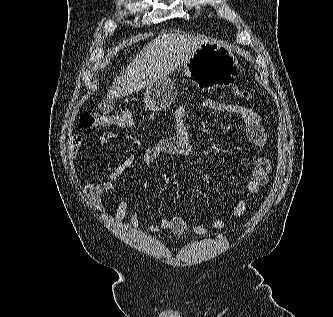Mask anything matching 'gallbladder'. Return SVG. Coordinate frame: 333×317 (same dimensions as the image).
Here are the masks:
<instances>
[{"label":"gallbladder","mask_w":333,"mask_h":317,"mask_svg":"<svg viewBox=\"0 0 333 317\" xmlns=\"http://www.w3.org/2000/svg\"><path fill=\"white\" fill-rule=\"evenodd\" d=\"M115 99H104L98 104V109L102 114H109L115 108Z\"/></svg>","instance_id":"bac80fb5"}]
</instances>
